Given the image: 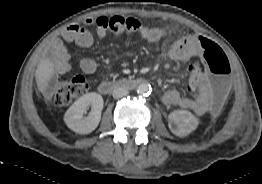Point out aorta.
Returning <instances> with one entry per match:
<instances>
[{
	"mask_svg": "<svg viewBox=\"0 0 262 184\" xmlns=\"http://www.w3.org/2000/svg\"><path fill=\"white\" fill-rule=\"evenodd\" d=\"M137 93L140 95H149L151 93V86L148 83H141L137 87Z\"/></svg>",
	"mask_w": 262,
	"mask_h": 184,
	"instance_id": "aorta-1",
	"label": "aorta"
}]
</instances>
